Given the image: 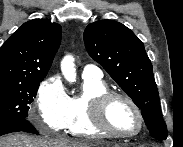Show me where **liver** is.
I'll list each match as a JSON object with an SVG mask.
<instances>
[{
  "label": "liver",
  "instance_id": "liver-1",
  "mask_svg": "<svg viewBox=\"0 0 183 147\" xmlns=\"http://www.w3.org/2000/svg\"><path fill=\"white\" fill-rule=\"evenodd\" d=\"M99 142H82L67 139H47L24 134L0 138V147H97Z\"/></svg>",
  "mask_w": 183,
  "mask_h": 147
}]
</instances>
